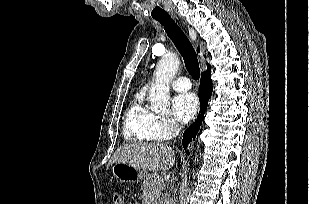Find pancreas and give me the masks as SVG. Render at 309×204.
<instances>
[{
	"label": "pancreas",
	"instance_id": "obj_1",
	"mask_svg": "<svg viewBox=\"0 0 309 204\" xmlns=\"http://www.w3.org/2000/svg\"><path fill=\"white\" fill-rule=\"evenodd\" d=\"M165 187V183L162 177L158 173L148 174L143 182L141 190L143 191V204H149V202L157 199L162 194Z\"/></svg>",
	"mask_w": 309,
	"mask_h": 204
}]
</instances>
